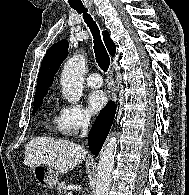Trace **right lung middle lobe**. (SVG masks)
<instances>
[{
  "mask_svg": "<svg viewBox=\"0 0 189 195\" xmlns=\"http://www.w3.org/2000/svg\"><path fill=\"white\" fill-rule=\"evenodd\" d=\"M42 100L39 101H35L34 102V108H33V115L35 114V112L37 111V109L39 108L40 104H41Z\"/></svg>",
  "mask_w": 189,
  "mask_h": 195,
  "instance_id": "right-lung-middle-lobe-1",
  "label": "right lung middle lobe"
}]
</instances>
